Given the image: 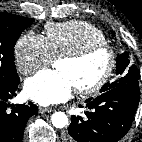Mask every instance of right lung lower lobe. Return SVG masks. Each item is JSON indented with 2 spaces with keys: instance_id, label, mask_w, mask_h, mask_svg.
I'll return each mask as SVG.
<instances>
[{
  "instance_id": "right-lung-lower-lobe-1",
  "label": "right lung lower lobe",
  "mask_w": 142,
  "mask_h": 142,
  "mask_svg": "<svg viewBox=\"0 0 142 142\" xmlns=\"http://www.w3.org/2000/svg\"><path fill=\"white\" fill-rule=\"evenodd\" d=\"M19 80L6 87H0V142H22L26 123L32 115L38 113L36 105H12L10 111L8 99L16 96Z\"/></svg>"
}]
</instances>
